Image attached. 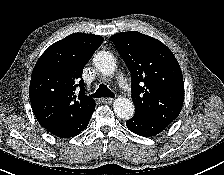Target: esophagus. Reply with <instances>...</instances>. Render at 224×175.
<instances>
[{
  "instance_id": "34e87169",
  "label": "esophagus",
  "mask_w": 224,
  "mask_h": 175,
  "mask_svg": "<svg viewBox=\"0 0 224 175\" xmlns=\"http://www.w3.org/2000/svg\"><path fill=\"white\" fill-rule=\"evenodd\" d=\"M101 101L104 104H110V103H112L113 98H102Z\"/></svg>"
}]
</instances>
